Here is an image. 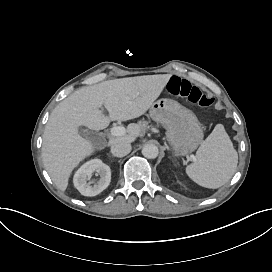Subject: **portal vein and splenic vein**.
<instances>
[{
  "mask_svg": "<svg viewBox=\"0 0 272 272\" xmlns=\"http://www.w3.org/2000/svg\"><path fill=\"white\" fill-rule=\"evenodd\" d=\"M126 133V129L125 127L122 126H115L111 128V134L113 136H123ZM191 158L193 159V161H196V158L194 156H191Z\"/></svg>",
  "mask_w": 272,
  "mask_h": 272,
  "instance_id": "18ae733b",
  "label": "portal vein and splenic vein"
}]
</instances>
